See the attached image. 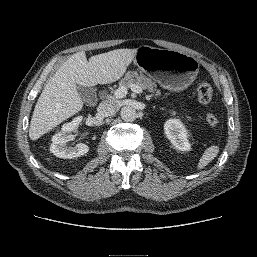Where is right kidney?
Here are the masks:
<instances>
[{
    "mask_svg": "<svg viewBox=\"0 0 257 257\" xmlns=\"http://www.w3.org/2000/svg\"><path fill=\"white\" fill-rule=\"evenodd\" d=\"M82 116H78L69 123H65L61 131L56 133L52 137V144L50 146V151L59 158L72 159L75 157H80L89 151V147L86 144L79 143L74 147L67 145L69 141L72 140L71 132L77 130L79 124L82 121Z\"/></svg>",
    "mask_w": 257,
    "mask_h": 257,
    "instance_id": "right-kidney-1",
    "label": "right kidney"
}]
</instances>
